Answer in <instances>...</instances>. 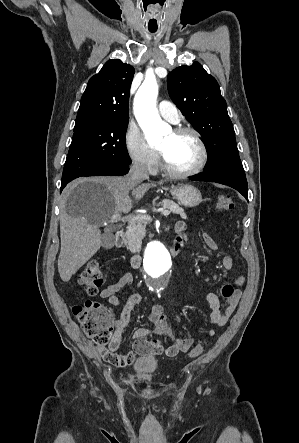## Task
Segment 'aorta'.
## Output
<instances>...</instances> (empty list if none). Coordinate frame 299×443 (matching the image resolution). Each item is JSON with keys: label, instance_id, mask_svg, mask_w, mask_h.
<instances>
[{"label": "aorta", "instance_id": "1", "mask_svg": "<svg viewBox=\"0 0 299 443\" xmlns=\"http://www.w3.org/2000/svg\"><path fill=\"white\" fill-rule=\"evenodd\" d=\"M158 84L154 76L146 77L134 98V115L151 145L162 141L170 132V126L162 121L157 108ZM171 256L160 241H151L145 251L144 269L154 280H159L171 268Z\"/></svg>", "mask_w": 299, "mask_h": 443}]
</instances>
